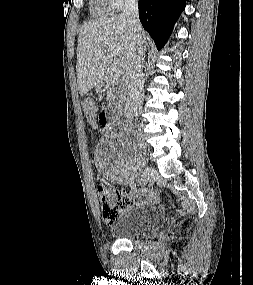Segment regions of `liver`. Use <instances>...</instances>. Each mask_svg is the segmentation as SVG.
Listing matches in <instances>:
<instances>
[{
  "label": "liver",
  "instance_id": "liver-1",
  "mask_svg": "<svg viewBox=\"0 0 253 285\" xmlns=\"http://www.w3.org/2000/svg\"><path fill=\"white\" fill-rule=\"evenodd\" d=\"M143 38L147 34L142 31ZM132 33L122 14L85 23L79 33L77 46V85L81 96L96 86L109 70L111 48L116 50L120 67L124 70L131 51Z\"/></svg>",
  "mask_w": 253,
  "mask_h": 285
}]
</instances>
